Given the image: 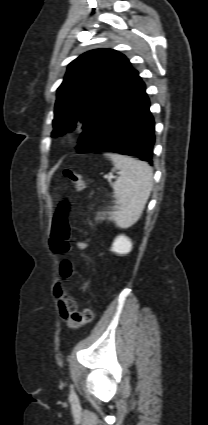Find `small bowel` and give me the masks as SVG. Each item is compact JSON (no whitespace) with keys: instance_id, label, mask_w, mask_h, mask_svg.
I'll return each instance as SVG.
<instances>
[{"instance_id":"c3829d8e","label":"small bowel","mask_w":208,"mask_h":425,"mask_svg":"<svg viewBox=\"0 0 208 425\" xmlns=\"http://www.w3.org/2000/svg\"><path fill=\"white\" fill-rule=\"evenodd\" d=\"M81 246H84V244H81ZM58 305H59L60 315L62 319L66 321L67 323H69L70 325H74L73 321L69 318L65 303L59 299Z\"/></svg>"}]
</instances>
